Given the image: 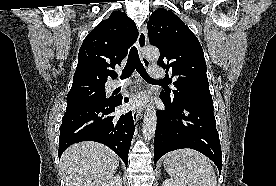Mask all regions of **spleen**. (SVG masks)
<instances>
[{
    "label": "spleen",
    "mask_w": 276,
    "mask_h": 186,
    "mask_svg": "<svg viewBox=\"0 0 276 186\" xmlns=\"http://www.w3.org/2000/svg\"><path fill=\"white\" fill-rule=\"evenodd\" d=\"M167 173L188 186H216V175L210 160L192 149H180L164 157Z\"/></svg>",
    "instance_id": "obj_1"
}]
</instances>
